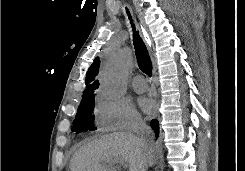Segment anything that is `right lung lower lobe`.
<instances>
[{"mask_svg": "<svg viewBox=\"0 0 245 171\" xmlns=\"http://www.w3.org/2000/svg\"><path fill=\"white\" fill-rule=\"evenodd\" d=\"M151 127L154 130V133H155L156 138H157L158 135H159V123H158V121L157 120H152L151 121Z\"/></svg>", "mask_w": 245, "mask_h": 171, "instance_id": "right-lung-lower-lobe-1", "label": "right lung lower lobe"}]
</instances>
